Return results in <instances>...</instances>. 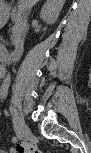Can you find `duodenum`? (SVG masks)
<instances>
[{
    "instance_id": "duodenum-1",
    "label": "duodenum",
    "mask_w": 91,
    "mask_h": 153,
    "mask_svg": "<svg viewBox=\"0 0 91 153\" xmlns=\"http://www.w3.org/2000/svg\"><path fill=\"white\" fill-rule=\"evenodd\" d=\"M25 48H26V41L25 40L20 41L17 44V46L9 53L8 59L10 61L18 60L22 56Z\"/></svg>"
}]
</instances>
